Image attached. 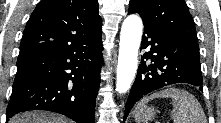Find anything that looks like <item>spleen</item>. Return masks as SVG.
Wrapping results in <instances>:
<instances>
[{
	"label": "spleen",
	"instance_id": "1",
	"mask_svg": "<svg viewBox=\"0 0 221 123\" xmlns=\"http://www.w3.org/2000/svg\"><path fill=\"white\" fill-rule=\"evenodd\" d=\"M155 98L172 99L171 116L174 123H206V115L199 101L186 90L178 88H167L143 98L134 111L136 120H138V111ZM136 122L140 123V121Z\"/></svg>",
	"mask_w": 221,
	"mask_h": 123
}]
</instances>
